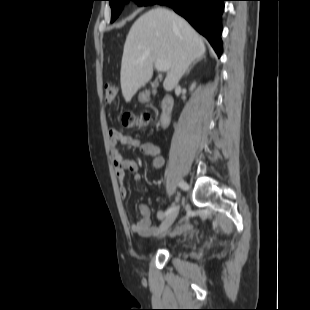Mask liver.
<instances>
[{
  "label": "liver",
  "mask_w": 310,
  "mask_h": 310,
  "mask_svg": "<svg viewBox=\"0 0 310 310\" xmlns=\"http://www.w3.org/2000/svg\"><path fill=\"white\" fill-rule=\"evenodd\" d=\"M206 52L198 33L180 16L154 8L132 25L123 50L120 82L126 102L150 81L156 61L170 63L163 87L173 90L188 69Z\"/></svg>",
  "instance_id": "liver-1"
}]
</instances>
